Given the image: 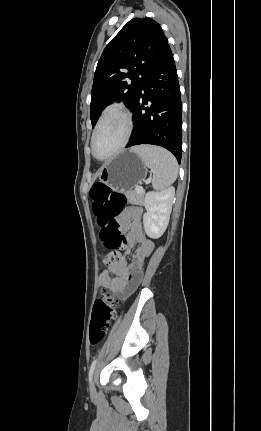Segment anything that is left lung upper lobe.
Instances as JSON below:
<instances>
[{
    "label": "left lung upper lobe",
    "mask_w": 261,
    "mask_h": 431,
    "mask_svg": "<svg viewBox=\"0 0 261 431\" xmlns=\"http://www.w3.org/2000/svg\"><path fill=\"white\" fill-rule=\"evenodd\" d=\"M167 45L160 25L150 18H134L119 31L104 49L94 74L92 125L114 101L133 109L147 71Z\"/></svg>",
    "instance_id": "1"
}]
</instances>
